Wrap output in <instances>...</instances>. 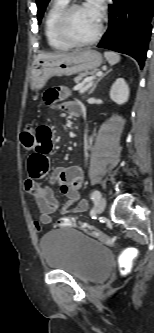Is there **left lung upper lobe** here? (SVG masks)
I'll list each match as a JSON object with an SVG mask.
<instances>
[{
	"mask_svg": "<svg viewBox=\"0 0 154 333\" xmlns=\"http://www.w3.org/2000/svg\"><path fill=\"white\" fill-rule=\"evenodd\" d=\"M36 1L38 7V12H37L38 23L40 24L45 8L50 0H36Z\"/></svg>",
	"mask_w": 154,
	"mask_h": 333,
	"instance_id": "obj_1",
	"label": "left lung upper lobe"
}]
</instances>
